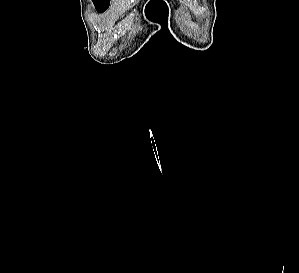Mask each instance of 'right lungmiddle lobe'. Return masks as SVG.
Returning a JSON list of instances; mask_svg holds the SVG:
<instances>
[{
    "label": "right lung middle lobe",
    "instance_id": "right-lung-middle-lobe-1",
    "mask_svg": "<svg viewBox=\"0 0 299 273\" xmlns=\"http://www.w3.org/2000/svg\"><path fill=\"white\" fill-rule=\"evenodd\" d=\"M97 11L104 12L110 5V0H93Z\"/></svg>",
    "mask_w": 299,
    "mask_h": 273
}]
</instances>
